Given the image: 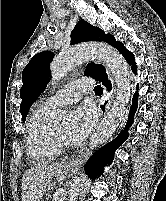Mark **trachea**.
<instances>
[{"instance_id":"trachea-1","label":"trachea","mask_w":166,"mask_h":201,"mask_svg":"<svg viewBox=\"0 0 166 201\" xmlns=\"http://www.w3.org/2000/svg\"><path fill=\"white\" fill-rule=\"evenodd\" d=\"M94 90L96 94H102L103 92V89L100 85L96 86Z\"/></svg>"}]
</instances>
